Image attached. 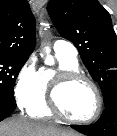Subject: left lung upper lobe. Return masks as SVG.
<instances>
[{
	"label": "left lung upper lobe",
	"mask_w": 117,
	"mask_h": 136,
	"mask_svg": "<svg viewBox=\"0 0 117 136\" xmlns=\"http://www.w3.org/2000/svg\"><path fill=\"white\" fill-rule=\"evenodd\" d=\"M47 10L60 35L78 49L107 106L117 98V37L110 14L97 0H50Z\"/></svg>",
	"instance_id": "left-lung-upper-lobe-1"
}]
</instances>
